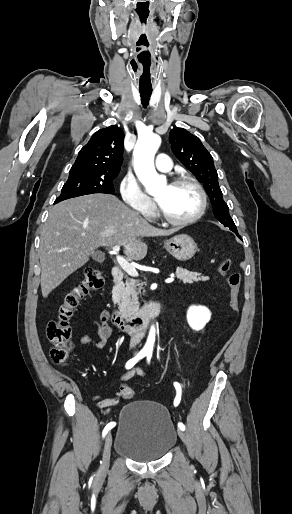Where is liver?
Wrapping results in <instances>:
<instances>
[{"instance_id":"1","label":"liver","mask_w":292,"mask_h":514,"mask_svg":"<svg viewBox=\"0 0 292 514\" xmlns=\"http://www.w3.org/2000/svg\"><path fill=\"white\" fill-rule=\"evenodd\" d=\"M178 232L150 226L111 194H90L53 206L41 230L39 258L43 298L84 266L100 246H124L129 260H143L147 246L138 238Z\"/></svg>"}]
</instances>
